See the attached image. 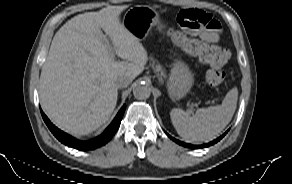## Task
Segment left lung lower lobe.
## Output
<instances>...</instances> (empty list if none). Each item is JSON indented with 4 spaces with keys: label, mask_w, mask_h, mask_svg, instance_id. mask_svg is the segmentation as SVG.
Instances as JSON below:
<instances>
[{
    "label": "left lung lower lobe",
    "mask_w": 292,
    "mask_h": 184,
    "mask_svg": "<svg viewBox=\"0 0 292 184\" xmlns=\"http://www.w3.org/2000/svg\"><path fill=\"white\" fill-rule=\"evenodd\" d=\"M168 135V134H167ZM226 135V133H224L223 135H221L220 137H218L217 139H215L214 141H211L210 143L207 144H203V145H191V144H187V143H183L177 139H174L173 137H171L170 135H168V137H170L173 141H175L176 143L188 147V148H194V149H199V148H204V147H208L210 145L215 144L216 142H218L219 140H221L224 136Z\"/></svg>",
    "instance_id": "0a47b994"
}]
</instances>
